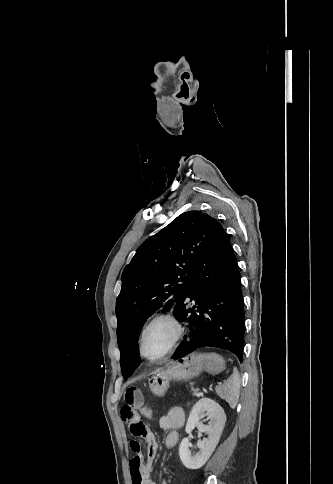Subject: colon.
I'll list each match as a JSON object with an SVG mask.
<instances>
[{"label": "colon", "instance_id": "colon-1", "mask_svg": "<svg viewBox=\"0 0 333 484\" xmlns=\"http://www.w3.org/2000/svg\"><path fill=\"white\" fill-rule=\"evenodd\" d=\"M141 414L145 419L151 420L154 417V412L152 408L148 406H143L141 409Z\"/></svg>", "mask_w": 333, "mask_h": 484}]
</instances>
